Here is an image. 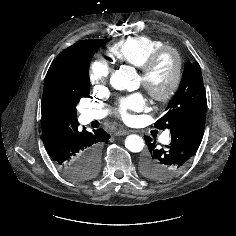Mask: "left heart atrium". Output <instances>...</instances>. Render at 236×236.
Returning <instances> with one entry per match:
<instances>
[{"mask_svg": "<svg viewBox=\"0 0 236 236\" xmlns=\"http://www.w3.org/2000/svg\"><path fill=\"white\" fill-rule=\"evenodd\" d=\"M146 100L141 93H135L121 98L119 101L118 114L123 119H129L131 111H138L145 107Z\"/></svg>", "mask_w": 236, "mask_h": 236, "instance_id": "1", "label": "left heart atrium"}]
</instances>
